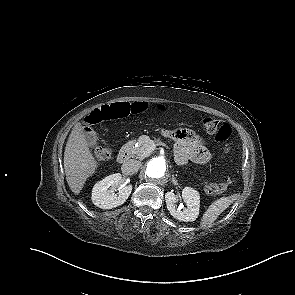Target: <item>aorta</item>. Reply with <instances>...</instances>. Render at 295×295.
I'll return each instance as SVG.
<instances>
[{
    "label": "aorta",
    "mask_w": 295,
    "mask_h": 295,
    "mask_svg": "<svg viewBox=\"0 0 295 295\" xmlns=\"http://www.w3.org/2000/svg\"><path fill=\"white\" fill-rule=\"evenodd\" d=\"M167 170L168 167L165 160L160 157H156L149 160L145 173L149 179L157 181L166 176Z\"/></svg>",
    "instance_id": "aorta-1"
}]
</instances>
